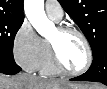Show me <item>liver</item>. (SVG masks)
Wrapping results in <instances>:
<instances>
[{
  "mask_svg": "<svg viewBox=\"0 0 107 89\" xmlns=\"http://www.w3.org/2000/svg\"><path fill=\"white\" fill-rule=\"evenodd\" d=\"M71 86L79 89H105L104 86L93 84H72L40 78L31 74H18L12 77L0 75V89H59Z\"/></svg>",
  "mask_w": 107,
  "mask_h": 89,
  "instance_id": "1",
  "label": "liver"
}]
</instances>
